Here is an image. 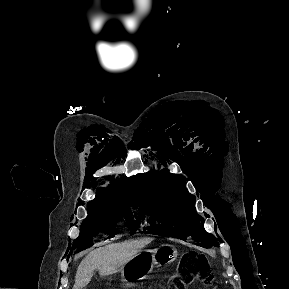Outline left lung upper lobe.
Masks as SVG:
<instances>
[{"mask_svg": "<svg viewBox=\"0 0 289 289\" xmlns=\"http://www.w3.org/2000/svg\"><path fill=\"white\" fill-rule=\"evenodd\" d=\"M143 177L137 196L146 233L192 240L205 248L218 246L216 237L205 231L204 219L196 212L195 197L187 191L183 176L150 171Z\"/></svg>", "mask_w": 289, "mask_h": 289, "instance_id": "obj_1", "label": "left lung upper lobe"}]
</instances>
